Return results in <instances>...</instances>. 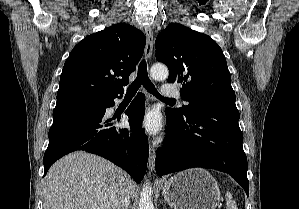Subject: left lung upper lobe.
Masks as SVG:
<instances>
[{
    "label": "left lung upper lobe",
    "instance_id": "1",
    "mask_svg": "<svg viewBox=\"0 0 299 209\" xmlns=\"http://www.w3.org/2000/svg\"><path fill=\"white\" fill-rule=\"evenodd\" d=\"M155 46L156 59L169 69L168 82L181 84V97L189 102L165 113L186 117L205 101L235 103L225 56L208 35L171 23L158 34Z\"/></svg>",
    "mask_w": 299,
    "mask_h": 209
}]
</instances>
